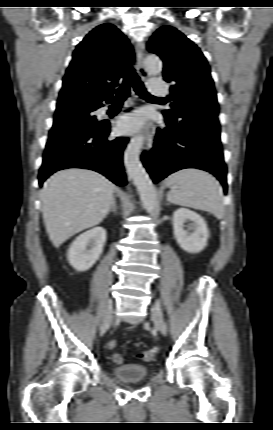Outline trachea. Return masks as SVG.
<instances>
[{"instance_id":"1","label":"trachea","mask_w":273,"mask_h":430,"mask_svg":"<svg viewBox=\"0 0 273 430\" xmlns=\"http://www.w3.org/2000/svg\"><path fill=\"white\" fill-rule=\"evenodd\" d=\"M130 86H133L135 92L143 99L146 100H158L161 98L150 95L144 87L143 82L136 74L133 67L130 65L126 66V75L124 77L122 85L113 90V93L116 94L117 101H123L129 96Z\"/></svg>"}]
</instances>
